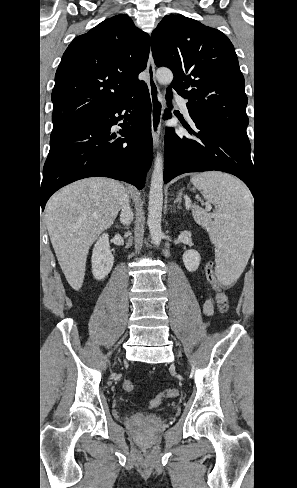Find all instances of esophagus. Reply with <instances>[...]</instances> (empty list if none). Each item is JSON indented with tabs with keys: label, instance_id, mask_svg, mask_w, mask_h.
<instances>
[{
	"label": "esophagus",
	"instance_id": "34e87169",
	"mask_svg": "<svg viewBox=\"0 0 297 488\" xmlns=\"http://www.w3.org/2000/svg\"><path fill=\"white\" fill-rule=\"evenodd\" d=\"M147 73V84L151 99V133L153 138L154 146L157 147L159 142V136L161 132V122L163 113V99L160 89L157 85L155 78V66L152 57V52L150 50L149 58L146 67Z\"/></svg>",
	"mask_w": 297,
	"mask_h": 488
}]
</instances>
